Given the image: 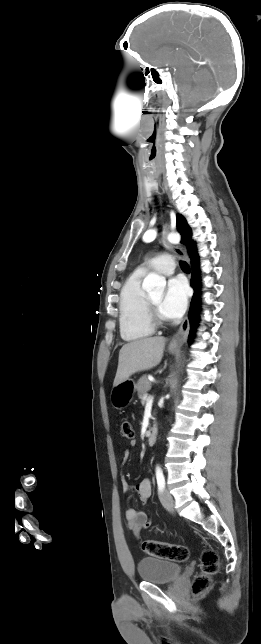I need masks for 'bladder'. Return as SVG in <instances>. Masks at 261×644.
Segmentation results:
<instances>
[{
    "instance_id": "obj_1",
    "label": "bladder",
    "mask_w": 261,
    "mask_h": 644,
    "mask_svg": "<svg viewBox=\"0 0 261 644\" xmlns=\"http://www.w3.org/2000/svg\"><path fill=\"white\" fill-rule=\"evenodd\" d=\"M137 571L142 581L166 584L173 582L180 576L182 566L168 560L146 557L138 562Z\"/></svg>"
}]
</instances>
